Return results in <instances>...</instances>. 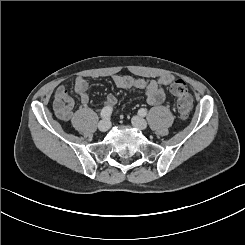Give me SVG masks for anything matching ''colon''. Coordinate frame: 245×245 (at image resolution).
I'll return each instance as SVG.
<instances>
[{
    "mask_svg": "<svg viewBox=\"0 0 245 245\" xmlns=\"http://www.w3.org/2000/svg\"><path fill=\"white\" fill-rule=\"evenodd\" d=\"M171 93L176 97V104L179 115L187 119L192 111V96L183 80L177 79L170 85Z\"/></svg>",
    "mask_w": 245,
    "mask_h": 245,
    "instance_id": "5ec220e1",
    "label": "colon"
}]
</instances>
